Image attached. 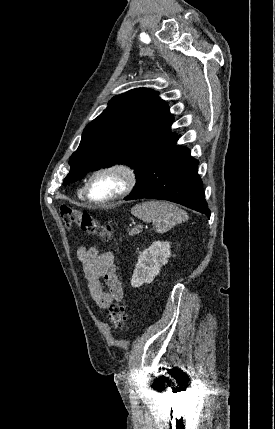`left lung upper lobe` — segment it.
Returning <instances> with one entry per match:
<instances>
[{
  "label": "left lung upper lobe",
  "instance_id": "1",
  "mask_svg": "<svg viewBox=\"0 0 275 429\" xmlns=\"http://www.w3.org/2000/svg\"><path fill=\"white\" fill-rule=\"evenodd\" d=\"M172 123L169 106L153 90L137 88L113 97L107 109L85 127L63 185L114 163L127 164L138 179L176 135L170 130Z\"/></svg>",
  "mask_w": 275,
  "mask_h": 429
}]
</instances>
